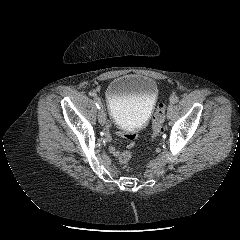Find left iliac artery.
<instances>
[{
    "mask_svg": "<svg viewBox=\"0 0 240 240\" xmlns=\"http://www.w3.org/2000/svg\"><path fill=\"white\" fill-rule=\"evenodd\" d=\"M170 101H171V103H173V104H175V103H177L178 101H179V97L178 96H172L171 98H170Z\"/></svg>",
    "mask_w": 240,
    "mask_h": 240,
    "instance_id": "obj_1",
    "label": "left iliac artery"
}]
</instances>
